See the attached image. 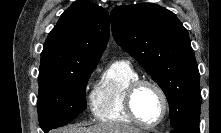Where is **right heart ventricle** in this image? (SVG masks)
Returning a JSON list of instances; mask_svg holds the SVG:
<instances>
[{
  "label": "right heart ventricle",
  "instance_id": "obj_1",
  "mask_svg": "<svg viewBox=\"0 0 221 133\" xmlns=\"http://www.w3.org/2000/svg\"><path fill=\"white\" fill-rule=\"evenodd\" d=\"M138 79V72L128 61L112 63L92 91L90 107L93 116L103 123L133 124L126 112L125 92Z\"/></svg>",
  "mask_w": 221,
  "mask_h": 133
}]
</instances>
